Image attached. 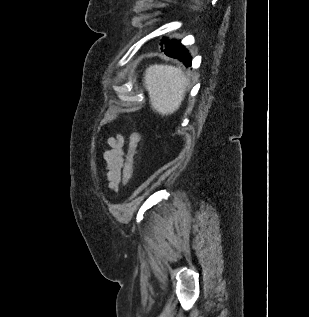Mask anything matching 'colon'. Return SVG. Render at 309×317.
Returning a JSON list of instances; mask_svg holds the SVG:
<instances>
[{
	"label": "colon",
	"instance_id": "5ec220e1",
	"mask_svg": "<svg viewBox=\"0 0 309 317\" xmlns=\"http://www.w3.org/2000/svg\"><path fill=\"white\" fill-rule=\"evenodd\" d=\"M140 142V135L139 133H133L129 138L128 144V152L126 155V160L123 167V182L128 184L132 178L133 174V163L134 157Z\"/></svg>",
	"mask_w": 309,
	"mask_h": 317
}]
</instances>
